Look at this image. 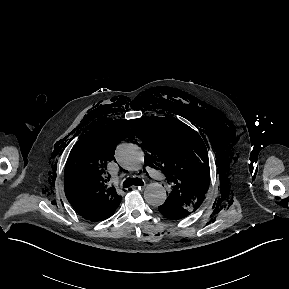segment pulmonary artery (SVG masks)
I'll use <instances>...</instances> for the list:
<instances>
[{"instance_id":"1","label":"pulmonary artery","mask_w":289,"mask_h":289,"mask_svg":"<svg viewBox=\"0 0 289 289\" xmlns=\"http://www.w3.org/2000/svg\"><path fill=\"white\" fill-rule=\"evenodd\" d=\"M147 171L151 178H153L155 181L160 182V183H166V180L164 179L163 175L156 170L155 168L148 167Z\"/></svg>"}]
</instances>
